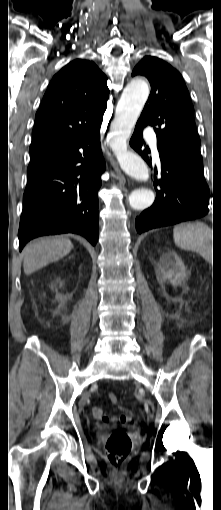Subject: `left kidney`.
Wrapping results in <instances>:
<instances>
[{"label":"left kidney","instance_id":"1","mask_svg":"<svg viewBox=\"0 0 221 510\" xmlns=\"http://www.w3.org/2000/svg\"><path fill=\"white\" fill-rule=\"evenodd\" d=\"M159 272L162 278L168 280L174 287L180 285L187 276L182 259L171 251L161 256Z\"/></svg>","mask_w":221,"mask_h":510}]
</instances>
